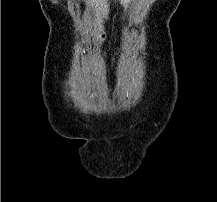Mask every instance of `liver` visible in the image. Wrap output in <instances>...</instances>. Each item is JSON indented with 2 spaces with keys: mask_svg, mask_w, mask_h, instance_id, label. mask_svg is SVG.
Instances as JSON below:
<instances>
[{
  "mask_svg": "<svg viewBox=\"0 0 217 202\" xmlns=\"http://www.w3.org/2000/svg\"><path fill=\"white\" fill-rule=\"evenodd\" d=\"M108 0H88V4H91L94 14H102L101 18H105L107 20L108 18V6H107ZM130 0H121V4L123 6H128Z\"/></svg>",
  "mask_w": 217,
  "mask_h": 202,
  "instance_id": "6515ba94",
  "label": "liver"
}]
</instances>
